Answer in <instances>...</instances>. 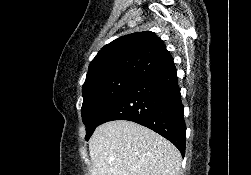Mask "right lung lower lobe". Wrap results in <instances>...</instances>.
<instances>
[{"label":"right lung lower lobe","instance_id":"1","mask_svg":"<svg viewBox=\"0 0 251 175\" xmlns=\"http://www.w3.org/2000/svg\"><path fill=\"white\" fill-rule=\"evenodd\" d=\"M176 68L159 72L130 86L101 116L99 125L129 120L171 141L185 155L186 125Z\"/></svg>","mask_w":251,"mask_h":175}]
</instances>
